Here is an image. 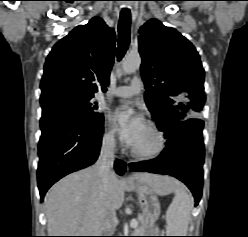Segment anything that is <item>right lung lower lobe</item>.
<instances>
[{"mask_svg":"<svg viewBox=\"0 0 248 237\" xmlns=\"http://www.w3.org/2000/svg\"><path fill=\"white\" fill-rule=\"evenodd\" d=\"M38 188L41 200L46 191L65 175L92 165L98 158L103 134V119L84 122L63 116H42L40 120ZM123 175L126 164L115 161Z\"/></svg>","mask_w":248,"mask_h":237,"instance_id":"98d812e1","label":"right lung lower lobe"}]
</instances>
